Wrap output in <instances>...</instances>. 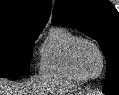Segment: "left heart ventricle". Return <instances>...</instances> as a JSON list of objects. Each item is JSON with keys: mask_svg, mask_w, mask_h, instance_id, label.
<instances>
[{"mask_svg": "<svg viewBox=\"0 0 119 95\" xmlns=\"http://www.w3.org/2000/svg\"><path fill=\"white\" fill-rule=\"evenodd\" d=\"M79 61L83 70L89 75L98 74L101 67V60L96 49L90 45H85L79 53Z\"/></svg>", "mask_w": 119, "mask_h": 95, "instance_id": "b2bd125f", "label": "left heart ventricle"}]
</instances>
